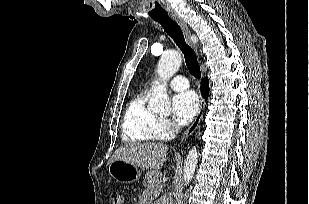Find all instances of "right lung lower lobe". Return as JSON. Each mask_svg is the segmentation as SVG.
<instances>
[{
    "label": "right lung lower lobe",
    "instance_id": "1",
    "mask_svg": "<svg viewBox=\"0 0 309 204\" xmlns=\"http://www.w3.org/2000/svg\"><path fill=\"white\" fill-rule=\"evenodd\" d=\"M201 93L206 100L209 95V82L207 78H204L202 83H201Z\"/></svg>",
    "mask_w": 309,
    "mask_h": 204
}]
</instances>
